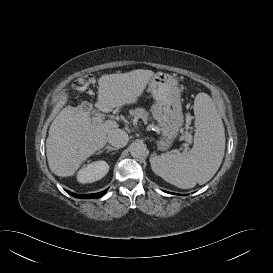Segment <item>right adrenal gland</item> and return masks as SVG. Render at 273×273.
Segmentation results:
<instances>
[{"label":"right adrenal gland","mask_w":273,"mask_h":273,"mask_svg":"<svg viewBox=\"0 0 273 273\" xmlns=\"http://www.w3.org/2000/svg\"><path fill=\"white\" fill-rule=\"evenodd\" d=\"M104 150H106V152H110V151H114V150H118L117 148L111 147V146H106L104 149H102L101 151H99L97 154H100L102 152H104Z\"/></svg>","instance_id":"obj_1"}]
</instances>
